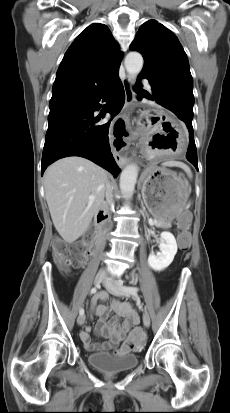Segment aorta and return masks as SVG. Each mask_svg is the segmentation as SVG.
Masks as SVG:
<instances>
[{
	"label": "aorta",
	"instance_id": "aorta-1",
	"mask_svg": "<svg viewBox=\"0 0 230 413\" xmlns=\"http://www.w3.org/2000/svg\"><path fill=\"white\" fill-rule=\"evenodd\" d=\"M125 68L130 76H137L143 68V57L138 52H130L125 58ZM138 177V167L135 164L126 166L120 176V190L126 198H131Z\"/></svg>",
	"mask_w": 230,
	"mask_h": 413
}]
</instances>
